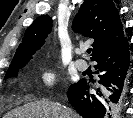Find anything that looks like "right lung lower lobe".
Masks as SVG:
<instances>
[{
	"label": "right lung lower lobe",
	"instance_id": "obj_1",
	"mask_svg": "<svg viewBox=\"0 0 133 118\" xmlns=\"http://www.w3.org/2000/svg\"><path fill=\"white\" fill-rule=\"evenodd\" d=\"M99 75V87L91 92L89 84L80 80L70 86L67 97L84 118H111L124 96L129 76L130 54L127 38L100 52L92 59Z\"/></svg>",
	"mask_w": 133,
	"mask_h": 118
}]
</instances>
